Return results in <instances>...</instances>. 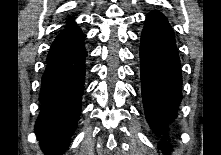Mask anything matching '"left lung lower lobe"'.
Masks as SVG:
<instances>
[{"label":"left lung lower lobe","instance_id":"left-lung-lower-lobe-1","mask_svg":"<svg viewBox=\"0 0 221 155\" xmlns=\"http://www.w3.org/2000/svg\"><path fill=\"white\" fill-rule=\"evenodd\" d=\"M141 89L146 119L157 133L168 131L181 102L182 75L173 30L157 10L145 20L140 43ZM170 150V146L161 145Z\"/></svg>","mask_w":221,"mask_h":155}]
</instances>
